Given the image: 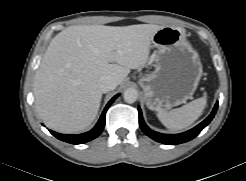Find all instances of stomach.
I'll list each match as a JSON object with an SVG mask.
<instances>
[{
	"mask_svg": "<svg viewBox=\"0 0 246 181\" xmlns=\"http://www.w3.org/2000/svg\"><path fill=\"white\" fill-rule=\"evenodd\" d=\"M151 43L157 49L155 71L139 79L147 107L159 111L185 103L203 74L198 52L187 42L186 31L180 27H162Z\"/></svg>",
	"mask_w": 246,
	"mask_h": 181,
	"instance_id": "stomach-1",
	"label": "stomach"
}]
</instances>
